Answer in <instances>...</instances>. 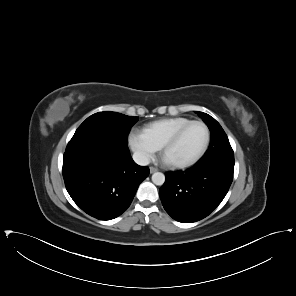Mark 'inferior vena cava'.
<instances>
[{"label": "inferior vena cava", "instance_id": "602c4592", "mask_svg": "<svg viewBox=\"0 0 296 296\" xmlns=\"http://www.w3.org/2000/svg\"><path fill=\"white\" fill-rule=\"evenodd\" d=\"M133 160L135 161V163L141 166H146L150 163V158L144 152L141 151H136L133 154Z\"/></svg>", "mask_w": 296, "mask_h": 296}]
</instances>
